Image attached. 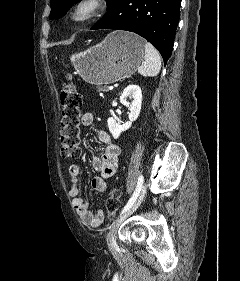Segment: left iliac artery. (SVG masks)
<instances>
[{"label": "left iliac artery", "mask_w": 240, "mask_h": 281, "mask_svg": "<svg viewBox=\"0 0 240 281\" xmlns=\"http://www.w3.org/2000/svg\"><path fill=\"white\" fill-rule=\"evenodd\" d=\"M143 181H144L143 176L140 175V176L138 177V182H137L136 189H135V191H134L132 197L130 198V200H129L128 203L126 204V206L123 208L121 214L124 213L125 211H127V210L134 204V202L136 201V199H137V197H138V195H139V192H140V190H141V188H142Z\"/></svg>", "instance_id": "1"}]
</instances>
